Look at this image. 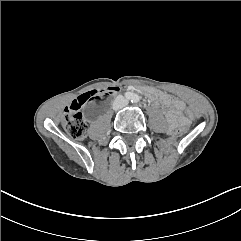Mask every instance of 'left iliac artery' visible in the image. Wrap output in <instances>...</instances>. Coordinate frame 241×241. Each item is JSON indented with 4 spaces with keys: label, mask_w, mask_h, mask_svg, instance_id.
Listing matches in <instances>:
<instances>
[{
    "label": "left iliac artery",
    "mask_w": 241,
    "mask_h": 241,
    "mask_svg": "<svg viewBox=\"0 0 241 241\" xmlns=\"http://www.w3.org/2000/svg\"><path fill=\"white\" fill-rule=\"evenodd\" d=\"M139 101V97L137 95H134L131 102L132 103H137Z\"/></svg>",
    "instance_id": "left-iliac-artery-1"
}]
</instances>
